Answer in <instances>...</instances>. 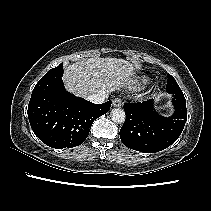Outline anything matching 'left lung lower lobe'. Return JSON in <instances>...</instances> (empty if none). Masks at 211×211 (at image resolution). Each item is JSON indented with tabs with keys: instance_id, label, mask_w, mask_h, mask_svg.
I'll return each instance as SVG.
<instances>
[{
	"instance_id": "left-lung-lower-lobe-1",
	"label": "left lung lower lobe",
	"mask_w": 211,
	"mask_h": 211,
	"mask_svg": "<svg viewBox=\"0 0 211 211\" xmlns=\"http://www.w3.org/2000/svg\"><path fill=\"white\" fill-rule=\"evenodd\" d=\"M170 94L173 95L175 112L169 118L155 111L152 100L124 104L126 119L120 129V138L126 147L155 153L179 138L187 120L186 101L182 91Z\"/></svg>"
}]
</instances>
